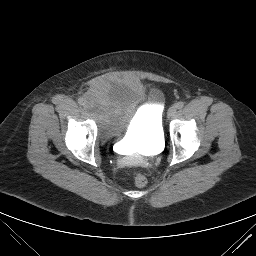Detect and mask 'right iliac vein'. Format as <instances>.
<instances>
[{
  "label": "right iliac vein",
  "instance_id": "63e3f726",
  "mask_svg": "<svg viewBox=\"0 0 256 256\" xmlns=\"http://www.w3.org/2000/svg\"><path fill=\"white\" fill-rule=\"evenodd\" d=\"M83 107H84L85 109H89V108H90V104H89L88 102H85V103L83 104Z\"/></svg>",
  "mask_w": 256,
  "mask_h": 256
}]
</instances>
